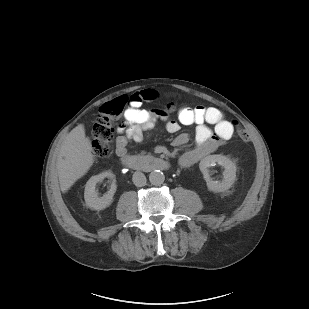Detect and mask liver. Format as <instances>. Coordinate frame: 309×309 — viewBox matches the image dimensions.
<instances>
[{"label": "liver", "mask_w": 309, "mask_h": 309, "mask_svg": "<svg viewBox=\"0 0 309 309\" xmlns=\"http://www.w3.org/2000/svg\"><path fill=\"white\" fill-rule=\"evenodd\" d=\"M93 162L91 142L85 135L84 125L79 124L67 135L58 152L56 168L61 191L67 192Z\"/></svg>", "instance_id": "obj_1"}]
</instances>
